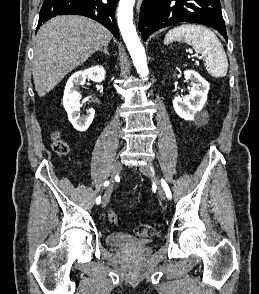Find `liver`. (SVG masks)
Returning a JSON list of instances; mask_svg holds the SVG:
<instances>
[{"instance_id":"6515ba94","label":"liver","mask_w":259,"mask_h":294,"mask_svg":"<svg viewBox=\"0 0 259 294\" xmlns=\"http://www.w3.org/2000/svg\"><path fill=\"white\" fill-rule=\"evenodd\" d=\"M112 37L104 26L83 16L63 15L46 22L36 35L34 47L32 73L38 95L49 93Z\"/></svg>"}]
</instances>
